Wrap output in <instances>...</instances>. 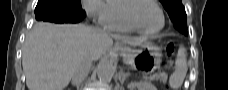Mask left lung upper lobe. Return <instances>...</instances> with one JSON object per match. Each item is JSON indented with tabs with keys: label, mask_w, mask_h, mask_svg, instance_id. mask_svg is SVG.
Returning a JSON list of instances; mask_svg holds the SVG:
<instances>
[{
	"label": "left lung upper lobe",
	"mask_w": 228,
	"mask_h": 90,
	"mask_svg": "<svg viewBox=\"0 0 228 90\" xmlns=\"http://www.w3.org/2000/svg\"><path fill=\"white\" fill-rule=\"evenodd\" d=\"M174 24L181 33L187 35V18L181 0H160Z\"/></svg>",
	"instance_id": "5c2ea615"
}]
</instances>
